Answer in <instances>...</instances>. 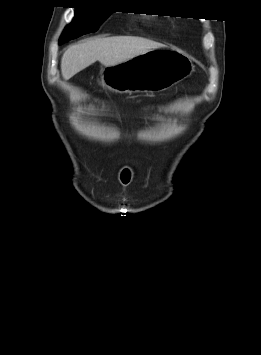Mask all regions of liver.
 I'll list each match as a JSON object with an SVG mask.
<instances>
[{
    "label": "liver",
    "instance_id": "obj_1",
    "mask_svg": "<svg viewBox=\"0 0 261 355\" xmlns=\"http://www.w3.org/2000/svg\"><path fill=\"white\" fill-rule=\"evenodd\" d=\"M162 46L155 41L133 36L87 40L65 51L61 59L62 77L68 80L96 61L109 67Z\"/></svg>",
    "mask_w": 261,
    "mask_h": 355
}]
</instances>
